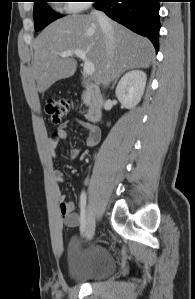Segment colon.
Masks as SVG:
<instances>
[{"mask_svg":"<svg viewBox=\"0 0 195 299\" xmlns=\"http://www.w3.org/2000/svg\"><path fill=\"white\" fill-rule=\"evenodd\" d=\"M72 102L65 98H51L46 102V112L54 124H59L69 113Z\"/></svg>","mask_w":195,"mask_h":299,"instance_id":"colon-1","label":"colon"}]
</instances>
